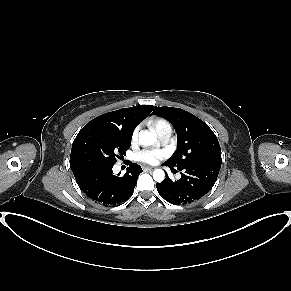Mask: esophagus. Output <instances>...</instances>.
Returning a JSON list of instances; mask_svg holds the SVG:
<instances>
[{"instance_id": "34e87169", "label": "esophagus", "mask_w": 291, "mask_h": 291, "mask_svg": "<svg viewBox=\"0 0 291 291\" xmlns=\"http://www.w3.org/2000/svg\"><path fill=\"white\" fill-rule=\"evenodd\" d=\"M154 169H155L154 167L143 166L144 171H153Z\"/></svg>"}]
</instances>
